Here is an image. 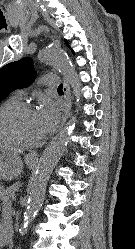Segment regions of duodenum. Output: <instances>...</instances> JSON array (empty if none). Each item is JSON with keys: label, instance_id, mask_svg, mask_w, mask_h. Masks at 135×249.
I'll use <instances>...</instances> for the list:
<instances>
[{"label": "duodenum", "instance_id": "duodenum-1", "mask_svg": "<svg viewBox=\"0 0 135 249\" xmlns=\"http://www.w3.org/2000/svg\"><path fill=\"white\" fill-rule=\"evenodd\" d=\"M12 245V237L8 234L4 235L1 239H0V246L4 249H10Z\"/></svg>", "mask_w": 135, "mask_h": 249}]
</instances>
